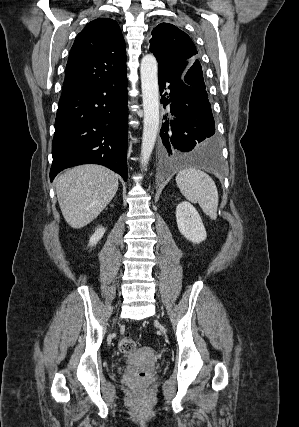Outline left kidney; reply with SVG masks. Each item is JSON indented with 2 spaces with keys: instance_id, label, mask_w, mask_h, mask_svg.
<instances>
[{
  "instance_id": "1",
  "label": "left kidney",
  "mask_w": 299,
  "mask_h": 427,
  "mask_svg": "<svg viewBox=\"0 0 299 427\" xmlns=\"http://www.w3.org/2000/svg\"><path fill=\"white\" fill-rule=\"evenodd\" d=\"M176 221L180 233L192 243L199 244L206 237V230L201 217L189 202H181L176 207Z\"/></svg>"
}]
</instances>
